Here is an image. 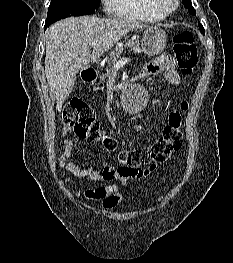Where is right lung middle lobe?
<instances>
[{
  "label": "right lung middle lobe",
  "instance_id": "1",
  "mask_svg": "<svg viewBox=\"0 0 233 263\" xmlns=\"http://www.w3.org/2000/svg\"><path fill=\"white\" fill-rule=\"evenodd\" d=\"M101 0H52L48 9L47 21L54 23L69 16L92 14Z\"/></svg>",
  "mask_w": 233,
  "mask_h": 263
}]
</instances>
